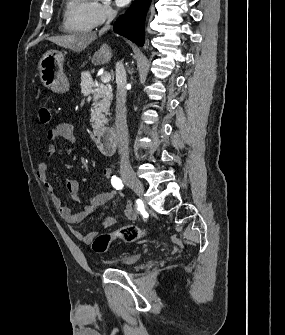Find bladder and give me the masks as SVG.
Here are the masks:
<instances>
[{"label":"bladder","instance_id":"31cf9c89","mask_svg":"<svg viewBox=\"0 0 285 335\" xmlns=\"http://www.w3.org/2000/svg\"><path fill=\"white\" fill-rule=\"evenodd\" d=\"M142 256V251L125 253L122 256L114 257L116 263L114 265H137ZM110 258H98V265H110Z\"/></svg>","mask_w":285,"mask_h":335}]
</instances>
